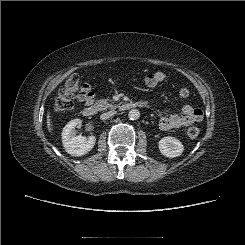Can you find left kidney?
I'll return each mask as SVG.
<instances>
[{
  "instance_id": "5707ae66",
  "label": "left kidney",
  "mask_w": 245,
  "mask_h": 245,
  "mask_svg": "<svg viewBox=\"0 0 245 245\" xmlns=\"http://www.w3.org/2000/svg\"><path fill=\"white\" fill-rule=\"evenodd\" d=\"M160 153L168 158L178 157L183 153V144L175 137H164L159 143Z\"/></svg>"
}]
</instances>
